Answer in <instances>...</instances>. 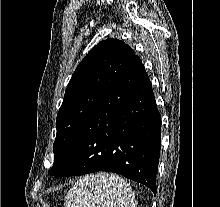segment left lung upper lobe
Here are the masks:
<instances>
[{
	"instance_id": "1",
	"label": "left lung upper lobe",
	"mask_w": 220,
	"mask_h": 207,
	"mask_svg": "<svg viewBox=\"0 0 220 207\" xmlns=\"http://www.w3.org/2000/svg\"><path fill=\"white\" fill-rule=\"evenodd\" d=\"M134 56V51L123 41L107 39L94 46L79 63L57 113L53 166L61 160L77 132L89 120Z\"/></svg>"
}]
</instances>
